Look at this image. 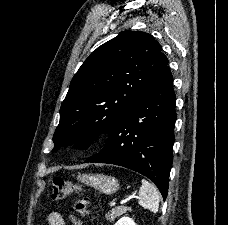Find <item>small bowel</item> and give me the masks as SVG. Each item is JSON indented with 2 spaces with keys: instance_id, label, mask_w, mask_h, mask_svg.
<instances>
[{
  "instance_id": "obj_1",
  "label": "small bowel",
  "mask_w": 228,
  "mask_h": 225,
  "mask_svg": "<svg viewBox=\"0 0 228 225\" xmlns=\"http://www.w3.org/2000/svg\"><path fill=\"white\" fill-rule=\"evenodd\" d=\"M69 220L71 225H82L81 220L74 215H70ZM47 223L48 225H65V220L59 212L53 211L47 215Z\"/></svg>"
}]
</instances>
